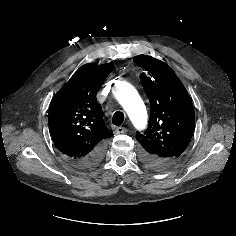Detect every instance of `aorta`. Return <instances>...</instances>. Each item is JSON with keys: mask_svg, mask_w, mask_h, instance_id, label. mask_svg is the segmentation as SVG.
Segmentation results:
<instances>
[{"mask_svg": "<svg viewBox=\"0 0 236 236\" xmlns=\"http://www.w3.org/2000/svg\"><path fill=\"white\" fill-rule=\"evenodd\" d=\"M114 95L119 101L129 119L137 130L147 126L148 115L146 107L136 89L125 81L115 84Z\"/></svg>", "mask_w": 236, "mask_h": 236, "instance_id": "1", "label": "aorta"}]
</instances>
